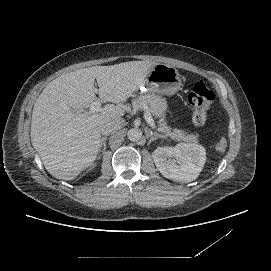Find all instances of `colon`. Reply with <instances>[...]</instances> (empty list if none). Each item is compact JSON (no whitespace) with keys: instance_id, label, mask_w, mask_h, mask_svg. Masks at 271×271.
Returning <instances> with one entry per match:
<instances>
[{"instance_id":"obj_1","label":"colon","mask_w":271,"mask_h":271,"mask_svg":"<svg viewBox=\"0 0 271 271\" xmlns=\"http://www.w3.org/2000/svg\"><path fill=\"white\" fill-rule=\"evenodd\" d=\"M188 101L193 108V122L198 126L204 125L208 119L207 112L215 101L214 92L204 83L198 82L193 86ZM226 147L227 140L225 138H220L215 144L216 150L220 152L224 151Z\"/></svg>"}]
</instances>
